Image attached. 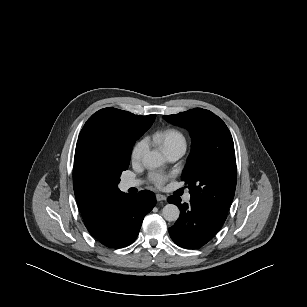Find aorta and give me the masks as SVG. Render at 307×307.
Returning a JSON list of instances; mask_svg holds the SVG:
<instances>
[{"label": "aorta", "instance_id": "obj_1", "mask_svg": "<svg viewBox=\"0 0 307 307\" xmlns=\"http://www.w3.org/2000/svg\"><path fill=\"white\" fill-rule=\"evenodd\" d=\"M164 163L163 156L158 151H148L143 156V164L149 168H157ZM180 210L174 204H167L162 209V216L169 222L179 218Z\"/></svg>", "mask_w": 307, "mask_h": 307}]
</instances>
